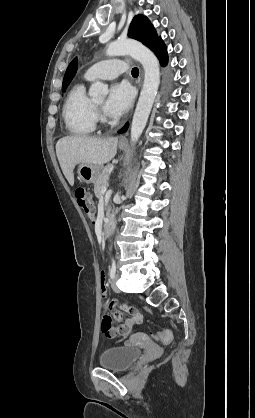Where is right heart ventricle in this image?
Instances as JSON below:
<instances>
[{
    "label": "right heart ventricle",
    "mask_w": 255,
    "mask_h": 418,
    "mask_svg": "<svg viewBox=\"0 0 255 418\" xmlns=\"http://www.w3.org/2000/svg\"><path fill=\"white\" fill-rule=\"evenodd\" d=\"M63 120L70 134L87 136L96 128L94 103L86 94L84 82H78L69 90L63 105Z\"/></svg>",
    "instance_id": "obj_1"
}]
</instances>
